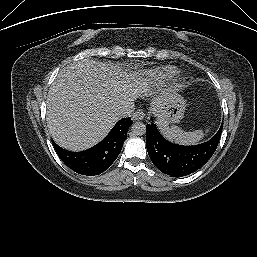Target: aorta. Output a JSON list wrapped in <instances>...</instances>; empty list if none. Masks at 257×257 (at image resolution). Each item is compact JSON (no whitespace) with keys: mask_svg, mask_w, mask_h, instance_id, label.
Segmentation results:
<instances>
[{"mask_svg":"<svg viewBox=\"0 0 257 257\" xmlns=\"http://www.w3.org/2000/svg\"><path fill=\"white\" fill-rule=\"evenodd\" d=\"M131 130L132 132L137 135V136H142L145 134L146 132V125L142 122H135L132 126H131Z\"/></svg>","mask_w":257,"mask_h":257,"instance_id":"1","label":"aorta"}]
</instances>
